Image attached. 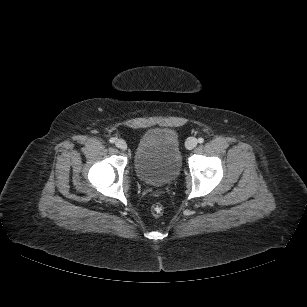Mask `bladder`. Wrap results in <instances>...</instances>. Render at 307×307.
<instances>
[{"label": "bladder", "instance_id": "bladder-1", "mask_svg": "<svg viewBox=\"0 0 307 307\" xmlns=\"http://www.w3.org/2000/svg\"><path fill=\"white\" fill-rule=\"evenodd\" d=\"M138 178L149 185L164 186L181 170L178 136L168 128H153L139 139L133 158Z\"/></svg>", "mask_w": 307, "mask_h": 307}]
</instances>
